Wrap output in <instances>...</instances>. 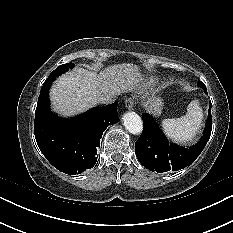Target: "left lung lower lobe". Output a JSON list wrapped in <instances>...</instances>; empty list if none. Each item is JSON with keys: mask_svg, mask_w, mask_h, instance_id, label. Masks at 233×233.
Masks as SVG:
<instances>
[{"mask_svg": "<svg viewBox=\"0 0 233 233\" xmlns=\"http://www.w3.org/2000/svg\"><path fill=\"white\" fill-rule=\"evenodd\" d=\"M203 89L208 94L207 89ZM142 117L144 128L140 138L135 143V153L138 161L153 172L177 171L190 166L200 155L211 135V103L204 134L200 141L190 148L170 144L151 115L145 113Z\"/></svg>", "mask_w": 233, "mask_h": 233, "instance_id": "left-lung-lower-lobe-1", "label": "left lung lower lobe"}]
</instances>
